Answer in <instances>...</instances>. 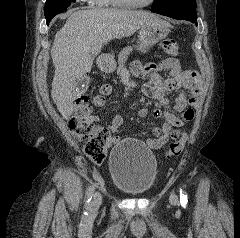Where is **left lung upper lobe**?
Instances as JSON below:
<instances>
[{"instance_id":"obj_1","label":"left lung upper lobe","mask_w":240,"mask_h":238,"mask_svg":"<svg viewBox=\"0 0 240 238\" xmlns=\"http://www.w3.org/2000/svg\"><path fill=\"white\" fill-rule=\"evenodd\" d=\"M168 7L196 9L195 0H154L152 9H163Z\"/></svg>"}]
</instances>
